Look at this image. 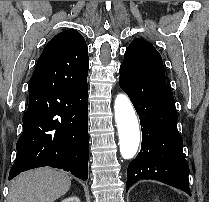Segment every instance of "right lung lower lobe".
<instances>
[{
    "label": "right lung lower lobe",
    "mask_w": 209,
    "mask_h": 202,
    "mask_svg": "<svg viewBox=\"0 0 209 202\" xmlns=\"http://www.w3.org/2000/svg\"><path fill=\"white\" fill-rule=\"evenodd\" d=\"M53 60H38L30 78L29 105L9 179L43 166L88 179L87 80L76 83L53 70Z\"/></svg>",
    "instance_id": "right-lung-lower-lobe-1"
}]
</instances>
